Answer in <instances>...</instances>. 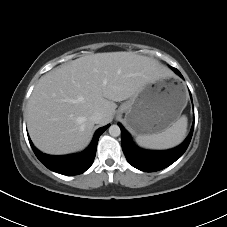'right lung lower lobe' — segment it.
I'll list each match as a JSON object with an SVG mask.
<instances>
[{
	"label": "right lung lower lobe",
	"mask_w": 227,
	"mask_h": 227,
	"mask_svg": "<svg viewBox=\"0 0 227 227\" xmlns=\"http://www.w3.org/2000/svg\"><path fill=\"white\" fill-rule=\"evenodd\" d=\"M108 127L109 125L99 128L96 131L91 144L83 152L64 156L43 154L34 147L30 138H28L35 155L48 169L63 175H78L85 172L92 165L96 155L98 139Z\"/></svg>",
	"instance_id": "1"
}]
</instances>
